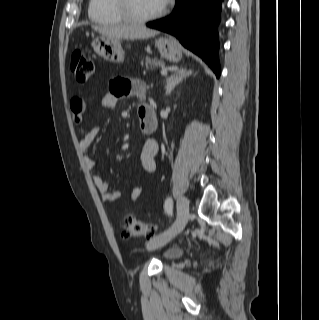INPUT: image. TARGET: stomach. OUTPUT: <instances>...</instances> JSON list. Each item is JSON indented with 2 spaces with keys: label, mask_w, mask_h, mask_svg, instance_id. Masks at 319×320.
Instances as JSON below:
<instances>
[{
  "label": "stomach",
  "mask_w": 319,
  "mask_h": 320,
  "mask_svg": "<svg viewBox=\"0 0 319 320\" xmlns=\"http://www.w3.org/2000/svg\"><path fill=\"white\" fill-rule=\"evenodd\" d=\"M155 46L164 59L178 62L182 58V51L172 37L158 38L155 41ZM92 47L97 55L107 61L121 63L124 60V51L118 38L101 35L93 40Z\"/></svg>",
  "instance_id": "obj_1"
}]
</instances>
